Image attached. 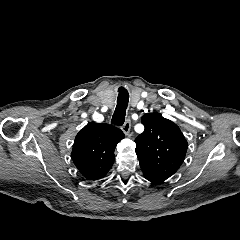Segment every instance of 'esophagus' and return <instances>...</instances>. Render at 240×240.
I'll use <instances>...</instances> for the list:
<instances>
[{"instance_id":"1","label":"esophagus","mask_w":240,"mask_h":240,"mask_svg":"<svg viewBox=\"0 0 240 240\" xmlns=\"http://www.w3.org/2000/svg\"><path fill=\"white\" fill-rule=\"evenodd\" d=\"M130 128H131V121L130 119H128L126 120V122L124 123L121 129L125 135H128L130 132Z\"/></svg>"}]
</instances>
